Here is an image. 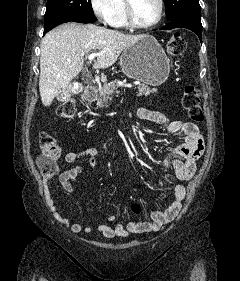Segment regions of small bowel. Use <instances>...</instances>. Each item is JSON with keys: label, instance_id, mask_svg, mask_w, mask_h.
Returning a JSON list of instances; mask_svg holds the SVG:
<instances>
[{"label": "small bowel", "instance_id": "obj_1", "mask_svg": "<svg viewBox=\"0 0 240 281\" xmlns=\"http://www.w3.org/2000/svg\"><path fill=\"white\" fill-rule=\"evenodd\" d=\"M137 114L142 120L164 125L170 133H181L184 136V142L174 148L163 160L164 167H172L174 169L173 180L175 181V186L171 200L163 210L151 213L149 219L145 221H130L113 226L110 223L115 220V216H109L105 223L98 226H83L80 223H71L69 218L62 216L57 211L54 201L48 197L47 202L55 219L61 224L69 226L73 233H98L105 238L126 237L159 230L174 220L179 214L186 194L185 183L193 177L196 171V161L204 152L203 137L198 126L193 122L171 119L159 111L144 108L139 109ZM98 157H100V151L91 147L78 152H68L64 155L63 160L67 163H73L78 159L84 158L87 161L88 167L93 169L96 167ZM83 172L84 168L80 166L63 171H59L57 168L53 174L44 175V181L47 183L56 178L62 189L70 193L74 191V183L77 177ZM162 185V181H159L157 184V186Z\"/></svg>", "mask_w": 240, "mask_h": 281}]
</instances>
